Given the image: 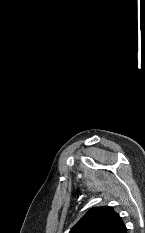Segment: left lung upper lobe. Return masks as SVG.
<instances>
[{"label": "left lung upper lobe", "mask_w": 145, "mask_h": 233, "mask_svg": "<svg viewBox=\"0 0 145 233\" xmlns=\"http://www.w3.org/2000/svg\"><path fill=\"white\" fill-rule=\"evenodd\" d=\"M69 233H127V228L112 207L102 206L90 209Z\"/></svg>", "instance_id": "1"}]
</instances>
